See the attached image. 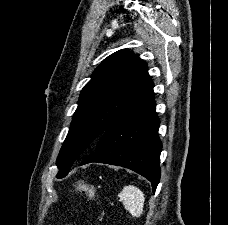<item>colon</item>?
Instances as JSON below:
<instances>
[{"label":"colon","instance_id":"5ec220e1","mask_svg":"<svg viewBox=\"0 0 228 225\" xmlns=\"http://www.w3.org/2000/svg\"><path fill=\"white\" fill-rule=\"evenodd\" d=\"M76 193L86 197V198H94L96 194V190L94 185L88 183L85 180L78 181L76 184Z\"/></svg>","mask_w":228,"mask_h":225}]
</instances>
